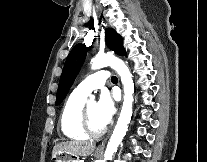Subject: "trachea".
Segmentation results:
<instances>
[{
	"label": "trachea",
	"mask_w": 207,
	"mask_h": 162,
	"mask_svg": "<svg viewBox=\"0 0 207 162\" xmlns=\"http://www.w3.org/2000/svg\"><path fill=\"white\" fill-rule=\"evenodd\" d=\"M111 81L116 82V81H118V79H117L116 76H112V77H111Z\"/></svg>",
	"instance_id": "obj_1"
}]
</instances>
